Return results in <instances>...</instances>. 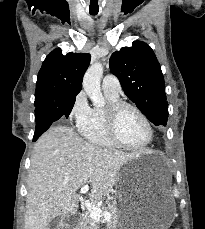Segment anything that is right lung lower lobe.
<instances>
[{
	"instance_id": "98d812e1",
	"label": "right lung lower lobe",
	"mask_w": 205,
	"mask_h": 229,
	"mask_svg": "<svg viewBox=\"0 0 205 229\" xmlns=\"http://www.w3.org/2000/svg\"><path fill=\"white\" fill-rule=\"evenodd\" d=\"M67 98L68 96L56 99L35 109L36 130L33 141H36L61 116H69L75 102Z\"/></svg>"
}]
</instances>
